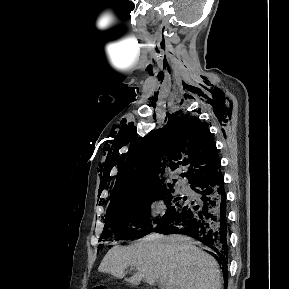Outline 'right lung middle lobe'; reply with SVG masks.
I'll list each match as a JSON object with an SVG mask.
<instances>
[{
    "label": "right lung middle lobe",
    "mask_w": 289,
    "mask_h": 289,
    "mask_svg": "<svg viewBox=\"0 0 289 289\" xmlns=\"http://www.w3.org/2000/svg\"><path fill=\"white\" fill-rule=\"evenodd\" d=\"M164 200L167 211L163 217L155 218L149 223L150 205L156 199ZM181 200L184 198H175L172 188H162L151 192L135 195L123 201L110 205L107 209L105 227L101 239H107L111 234L115 239H136L150 233L151 229H145L150 226L160 224L165 219L173 216L185 205Z\"/></svg>",
    "instance_id": "dd1d6c3e"
}]
</instances>
